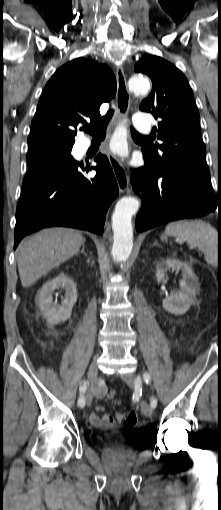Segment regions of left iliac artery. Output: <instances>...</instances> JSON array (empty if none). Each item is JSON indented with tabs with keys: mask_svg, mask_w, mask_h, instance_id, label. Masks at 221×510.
Returning a JSON list of instances; mask_svg holds the SVG:
<instances>
[{
	"mask_svg": "<svg viewBox=\"0 0 221 510\" xmlns=\"http://www.w3.org/2000/svg\"><path fill=\"white\" fill-rule=\"evenodd\" d=\"M143 379H144V381H145L147 384H148V383H150V381H151V376H150V374H149V373H147V372H145V373L143 374ZM135 382H136V384H139V383H140V378L138 377V378L136 379V381H135ZM150 405H151V407H152L153 409H154V408H156V406H157V399H156L155 397H152V398H151Z\"/></svg>",
	"mask_w": 221,
	"mask_h": 510,
	"instance_id": "obj_1",
	"label": "left iliac artery"
}]
</instances>
